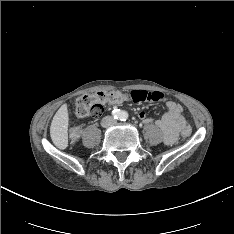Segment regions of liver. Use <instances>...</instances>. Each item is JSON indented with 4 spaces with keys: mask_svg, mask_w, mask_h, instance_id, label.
Segmentation results:
<instances>
[{
    "mask_svg": "<svg viewBox=\"0 0 234 234\" xmlns=\"http://www.w3.org/2000/svg\"><path fill=\"white\" fill-rule=\"evenodd\" d=\"M69 115L67 105L63 104L53 117L50 136L53 144L63 150L68 146Z\"/></svg>",
    "mask_w": 234,
    "mask_h": 234,
    "instance_id": "6515ba94",
    "label": "liver"
}]
</instances>
